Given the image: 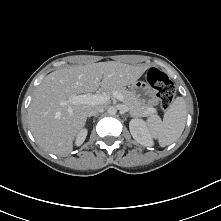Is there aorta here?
Returning a JSON list of instances; mask_svg holds the SVG:
<instances>
[{
	"label": "aorta",
	"instance_id": "aorta-1",
	"mask_svg": "<svg viewBox=\"0 0 221 221\" xmlns=\"http://www.w3.org/2000/svg\"><path fill=\"white\" fill-rule=\"evenodd\" d=\"M116 112H117V110H116L115 107H109V108H108V114H109V115L113 116V115L116 114Z\"/></svg>",
	"mask_w": 221,
	"mask_h": 221
}]
</instances>
